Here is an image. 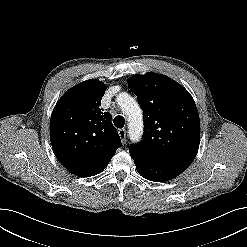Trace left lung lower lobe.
Returning <instances> with one entry per match:
<instances>
[{"mask_svg":"<svg viewBox=\"0 0 247 247\" xmlns=\"http://www.w3.org/2000/svg\"><path fill=\"white\" fill-rule=\"evenodd\" d=\"M134 160L138 173L154 182H163L177 177L186 168L182 166L163 164L152 161L136 153H130Z\"/></svg>","mask_w":247,"mask_h":247,"instance_id":"0a47b994","label":"left lung lower lobe"}]
</instances>
